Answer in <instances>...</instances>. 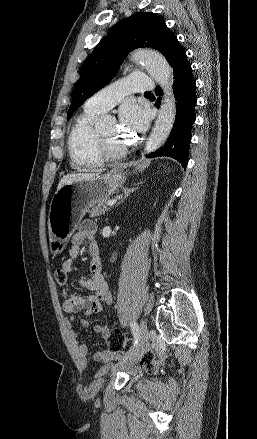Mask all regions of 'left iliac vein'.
Returning <instances> with one entry per match:
<instances>
[{
    "label": "left iliac vein",
    "instance_id": "obj_1",
    "mask_svg": "<svg viewBox=\"0 0 257 439\" xmlns=\"http://www.w3.org/2000/svg\"><path fill=\"white\" fill-rule=\"evenodd\" d=\"M150 333L147 325L144 321L141 322L140 326V337L136 351L129 357L127 361L117 365L114 371L123 369L126 366L134 365L143 355L145 349L149 346Z\"/></svg>",
    "mask_w": 257,
    "mask_h": 439
}]
</instances>
